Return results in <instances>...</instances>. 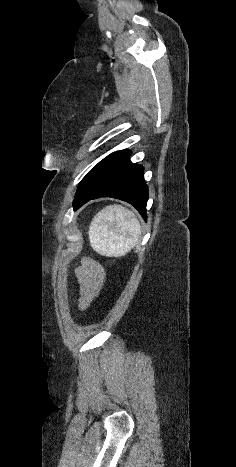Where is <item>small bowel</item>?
Masks as SVG:
<instances>
[{
  "label": "small bowel",
  "mask_w": 236,
  "mask_h": 467,
  "mask_svg": "<svg viewBox=\"0 0 236 467\" xmlns=\"http://www.w3.org/2000/svg\"><path fill=\"white\" fill-rule=\"evenodd\" d=\"M75 274L79 283L78 306L85 310L98 297L105 281V272L100 264L85 258Z\"/></svg>",
  "instance_id": "obj_1"
}]
</instances>
